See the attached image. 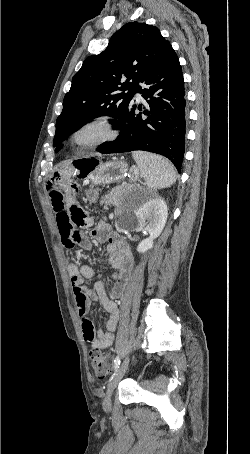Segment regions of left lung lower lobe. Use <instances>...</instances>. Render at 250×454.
Wrapping results in <instances>:
<instances>
[{
    "mask_svg": "<svg viewBox=\"0 0 250 454\" xmlns=\"http://www.w3.org/2000/svg\"><path fill=\"white\" fill-rule=\"evenodd\" d=\"M138 87L149 110L135 113L136 105L130 104L116 129L121 133L115 141L97 147L102 154L134 150L161 154L172 161L178 172L185 151V90L182 68L173 50L168 58Z\"/></svg>",
    "mask_w": 250,
    "mask_h": 454,
    "instance_id": "1",
    "label": "left lung lower lobe"
}]
</instances>
